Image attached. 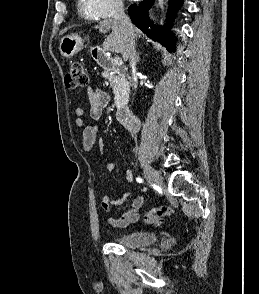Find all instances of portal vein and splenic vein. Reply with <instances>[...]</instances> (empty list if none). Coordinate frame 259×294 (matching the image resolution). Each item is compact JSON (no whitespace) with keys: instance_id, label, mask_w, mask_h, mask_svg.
<instances>
[{"instance_id":"portal-vein-and-splenic-vein-1","label":"portal vein and splenic vein","mask_w":259,"mask_h":294,"mask_svg":"<svg viewBox=\"0 0 259 294\" xmlns=\"http://www.w3.org/2000/svg\"><path fill=\"white\" fill-rule=\"evenodd\" d=\"M113 62L115 65H118V66H121L123 64V61L120 58H114Z\"/></svg>"}]
</instances>
